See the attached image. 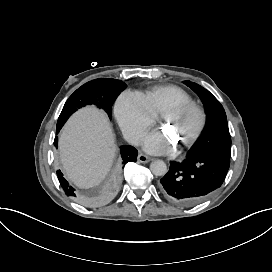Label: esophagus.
<instances>
[{"instance_id": "1", "label": "esophagus", "mask_w": 272, "mask_h": 272, "mask_svg": "<svg viewBox=\"0 0 272 272\" xmlns=\"http://www.w3.org/2000/svg\"><path fill=\"white\" fill-rule=\"evenodd\" d=\"M137 159L141 163H148L152 160L149 156H146L145 154H139Z\"/></svg>"}]
</instances>
